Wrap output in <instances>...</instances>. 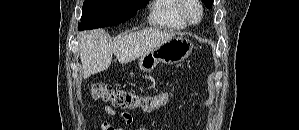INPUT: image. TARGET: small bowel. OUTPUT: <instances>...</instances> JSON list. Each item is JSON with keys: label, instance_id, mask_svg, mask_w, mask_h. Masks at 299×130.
<instances>
[{"label": "small bowel", "instance_id": "obj_1", "mask_svg": "<svg viewBox=\"0 0 299 130\" xmlns=\"http://www.w3.org/2000/svg\"><path fill=\"white\" fill-rule=\"evenodd\" d=\"M104 111L109 116L119 119L123 124L130 125L132 123V117L127 112L117 113L111 106H105ZM100 130H124L122 127H114L111 124L104 122L100 125ZM134 130H147L145 127L139 126Z\"/></svg>", "mask_w": 299, "mask_h": 130}]
</instances>
